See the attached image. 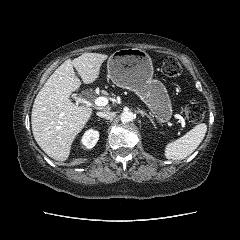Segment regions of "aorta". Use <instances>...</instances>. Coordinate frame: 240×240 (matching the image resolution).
<instances>
[{"mask_svg": "<svg viewBox=\"0 0 240 240\" xmlns=\"http://www.w3.org/2000/svg\"><path fill=\"white\" fill-rule=\"evenodd\" d=\"M133 118H134V114L131 111H124L121 114V121L123 123L131 122L133 120Z\"/></svg>", "mask_w": 240, "mask_h": 240, "instance_id": "aorta-1", "label": "aorta"}]
</instances>
